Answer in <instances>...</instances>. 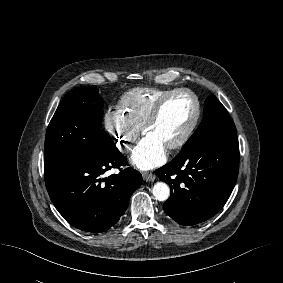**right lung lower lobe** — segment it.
I'll return each mask as SVG.
<instances>
[{
  "instance_id": "right-lung-lower-lobe-1",
  "label": "right lung lower lobe",
  "mask_w": 283,
  "mask_h": 283,
  "mask_svg": "<svg viewBox=\"0 0 283 283\" xmlns=\"http://www.w3.org/2000/svg\"><path fill=\"white\" fill-rule=\"evenodd\" d=\"M114 142L44 173L48 194L59 213L75 228L103 232L125 212L142 175L132 169ZM118 168V174L104 173Z\"/></svg>"
}]
</instances>
